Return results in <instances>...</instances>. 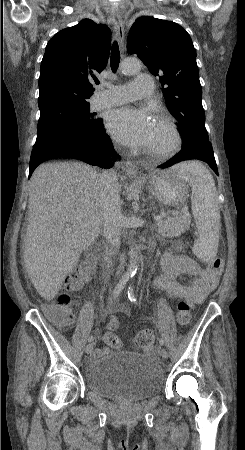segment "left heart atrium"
<instances>
[{
  "instance_id": "obj_1",
  "label": "left heart atrium",
  "mask_w": 245,
  "mask_h": 450,
  "mask_svg": "<svg viewBox=\"0 0 245 450\" xmlns=\"http://www.w3.org/2000/svg\"><path fill=\"white\" fill-rule=\"evenodd\" d=\"M106 125L114 139L132 148L148 146L154 129L149 111L133 106L110 111Z\"/></svg>"
}]
</instances>
